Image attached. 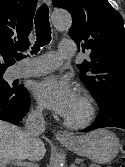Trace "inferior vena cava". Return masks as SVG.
I'll list each match as a JSON object with an SVG mask.
<instances>
[{"mask_svg":"<svg viewBox=\"0 0 125 167\" xmlns=\"http://www.w3.org/2000/svg\"><path fill=\"white\" fill-rule=\"evenodd\" d=\"M45 130V121L43 118L42 109H37L32 111L25 123L24 134L30 141H35L38 139V136L43 133ZM30 161L35 162V159H29ZM29 167H38L37 164H29Z\"/></svg>","mask_w":125,"mask_h":167,"instance_id":"obj_1","label":"inferior vena cava"}]
</instances>
